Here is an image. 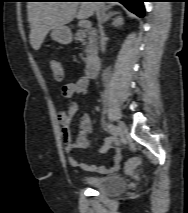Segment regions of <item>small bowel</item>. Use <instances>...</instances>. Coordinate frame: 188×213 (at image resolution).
<instances>
[{"instance_id": "c3829d8e", "label": "small bowel", "mask_w": 188, "mask_h": 213, "mask_svg": "<svg viewBox=\"0 0 188 213\" xmlns=\"http://www.w3.org/2000/svg\"><path fill=\"white\" fill-rule=\"evenodd\" d=\"M61 91L62 96L68 102L67 108L58 112V120L61 124V137L65 152L72 153L77 149L87 148L88 137L92 128L90 115L88 113L82 114L79 119L78 135L75 139H73L71 123L74 115L78 111V104L75 102L74 96L76 94L89 95L91 91L86 77H79L74 82L64 84ZM113 139L114 138L106 139L104 145L100 148L101 153H107L111 149ZM122 159L123 157L121 151L116 149L112 156L111 162L108 165L96 166L93 164H85L79 161L74 156H69L68 162L71 166L76 168L107 174L119 170L121 167Z\"/></svg>"}]
</instances>
